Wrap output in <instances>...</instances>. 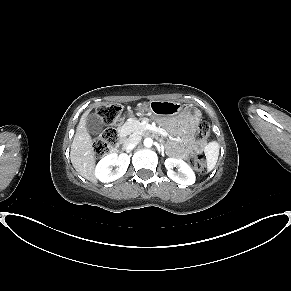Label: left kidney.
<instances>
[{"mask_svg":"<svg viewBox=\"0 0 291 291\" xmlns=\"http://www.w3.org/2000/svg\"><path fill=\"white\" fill-rule=\"evenodd\" d=\"M164 164L167 169V175L171 180L184 186L195 183V173L185 161L181 159L168 158L165 160ZM174 167L178 168V173L173 171Z\"/></svg>","mask_w":291,"mask_h":291,"instance_id":"obj_1","label":"left kidney"}]
</instances>
